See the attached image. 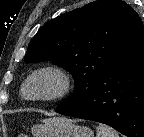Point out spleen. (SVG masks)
Listing matches in <instances>:
<instances>
[{
    "label": "spleen",
    "instance_id": "spleen-1",
    "mask_svg": "<svg viewBox=\"0 0 144 137\" xmlns=\"http://www.w3.org/2000/svg\"><path fill=\"white\" fill-rule=\"evenodd\" d=\"M96 130L97 137H119V134L116 130L102 123L98 124Z\"/></svg>",
    "mask_w": 144,
    "mask_h": 137
}]
</instances>
